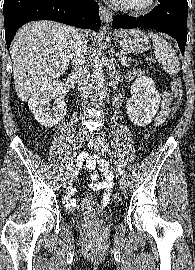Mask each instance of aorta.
<instances>
[{
	"label": "aorta",
	"mask_w": 195,
	"mask_h": 270,
	"mask_svg": "<svg viewBox=\"0 0 195 270\" xmlns=\"http://www.w3.org/2000/svg\"><path fill=\"white\" fill-rule=\"evenodd\" d=\"M105 31L106 27H103L102 30L100 31L99 42L103 40ZM102 61H103L102 50L101 48H99L93 60V75L96 81L98 95L100 98L102 95V89L104 88V74L102 69Z\"/></svg>",
	"instance_id": "762f6f07"
}]
</instances>
